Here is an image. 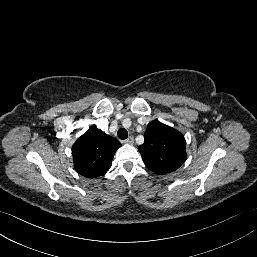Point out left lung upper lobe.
Instances as JSON below:
<instances>
[{"label":"left lung upper lobe","instance_id":"left-lung-upper-lobe-1","mask_svg":"<svg viewBox=\"0 0 257 257\" xmlns=\"http://www.w3.org/2000/svg\"><path fill=\"white\" fill-rule=\"evenodd\" d=\"M144 143L138 147L145 165L164 175L178 169L186 160V141L176 129L157 120L147 125Z\"/></svg>","mask_w":257,"mask_h":257}]
</instances>
